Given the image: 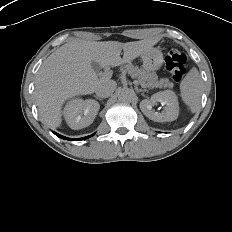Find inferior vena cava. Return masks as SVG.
Masks as SVG:
<instances>
[{"label":"inferior vena cava","instance_id":"1","mask_svg":"<svg viewBox=\"0 0 232 232\" xmlns=\"http://www.w3.org/2000/svg\"><path fill=\"white\" fill-rule=\"evenodd\" d=\"M116 82L113 80H103L99 86L96 88V95L101 97V98H107L110 95H112V93L114 92V90L116 89Z\"/></svg>","mask_w":232,"mask_h":232}]
</instances>
